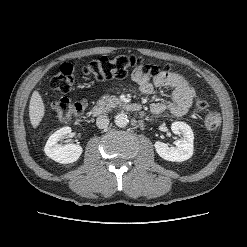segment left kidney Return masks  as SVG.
<instances>
[{
    "instance_id": "1",
    "label": "left kidney",
    "mask_w": 247,
    "mask_h": 247,
    "mask_svg": "<svg viewBox=\"0 0 247 247\" xmlns=\"http://www.w3.org/2000/svg\"><path fill=\"white\" fill-rule=\"evenodd\" d=\"M171 130L174 134L182 135L180 140L175 141V146L169 147L166 143L157 141L154 144L158 155L167 161L182 162L193 155L194 134L191 127L181 121L173 122Z\"/></svg>"
}]
</instances>
